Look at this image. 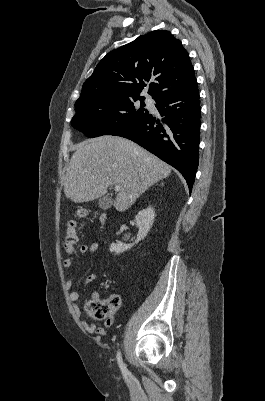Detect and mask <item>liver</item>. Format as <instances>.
<instances>
[{"instance_id": "liver-1", "label": "liver", "mask_w": 265, "mask_h": 401, "mask_svg": "<svg viewBox=\"0 0 265 401\" xmlns=\"http://www.w3.org/2000/svg\"><path fill=\"white\" fill-rule=\"evenodd\" d=\"M171 166L121 136L88 138L75 146L67 168L64 192L73 203H88L121 186L113 207L127 211L151 184L166 178Z\"/></svg>"}]
</instances>
